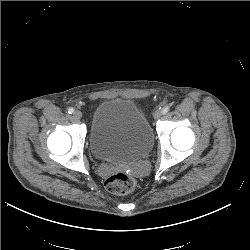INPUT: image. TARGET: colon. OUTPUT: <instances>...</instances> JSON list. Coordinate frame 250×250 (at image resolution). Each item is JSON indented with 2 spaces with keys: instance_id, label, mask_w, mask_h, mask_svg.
<instances>
[{
  "instance_id": "obj_1",
  "label": "colon",
  "mask_w": 250,
  "mask_h": 250,
  "mask_svg": "<svg viewBox=\"0 0 250 250\" xmlns=\"http://www.w3.org/2000/svg\"><path fill=\"white\" fill-rule=\"evenodd\" d=\"M104 184L110 193L125 195L134 190L136 181L131 175L120 172L108 177Z\"/></svg>"
}]
</instances>
